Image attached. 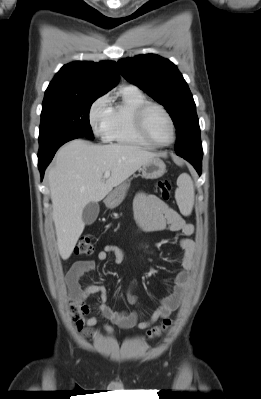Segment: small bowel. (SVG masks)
Segmentation results:
<instances>
[{
	"mask_svg": "<svg viewBox=\"0 0 261 399\" xmlns=\"http://www.w3.org/2000/svg\"><path fill=\"white\" fill-rule=\"evenodd\" d=\"M134 215L142 232H158L169 229L173 232H180L183 235L178 241V245L183 251L180 256L182 270L176 274L169 293L161 299L159 306L152 312L150 317L139 321L136 311L113 310L106 303L107 291L103 285L82 286L85 275L95 269L96 263L94 260L75 262L66 274V284L73 299L80 302H85L93 294H99L101 298L100 314L112 324L121 328L144 330L158 320L168 317L183 301L189 287V276L193 267L196 246L194 241L189 238L194 232L193 225L187 223L174 208L160 197L145 192L138 193L134 200ZM110 255L116 264H120L127 259V254L123 249L114 245H106L98 252L97 260L105 261ZM127 300L131 304L137 303V298L131 290L127 293ZM99 323V319L95 316L86 318V328L83 330V334L86 336L92 335V329ZM103 328L106 332L113 333L111 325L105 323Z\"/></svg>",
	"mask_w": 261,
	"mask_h": 399,
	"instance_id": "1",
	"label": "small bowel"
}]
</instances>
